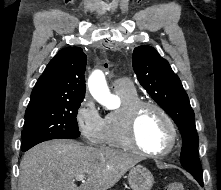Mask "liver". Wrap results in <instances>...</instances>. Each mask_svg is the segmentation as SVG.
Masks as SVG:
<instances>
[{
  "label": "liver",
  "mask_w": 221,
  "mask_h": 190,
  "mask_svg": "<svg viewBox=\"0 0 221 190\" xmlns=\"http://www.w3.org/2000/svg\"><path fill=\"white\" fill-rule=\"evenodd\" d=\"M143 157L57 139L36 145L20 162L19 190H107ZM78 175H86L80 186Z\"/></svg>",
  "instance_id": "6515ba94"
}]
</instances>
